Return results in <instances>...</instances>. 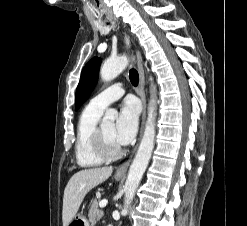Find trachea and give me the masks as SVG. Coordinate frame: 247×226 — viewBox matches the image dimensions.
Returning <instances> with one entry per match:
<instances>
[{
    "instance_id": "1",
    "label": "trachea",
    "mask_w": 247,
    "mask_h": 226,
    "mask_svg": "<svg viewBox=\"0 0 247 226\" xmlns=\"http://www.w3.org/2000/svg\"><path fill=\"white\" fill-rule=\"evenodd\" d=\"M129 78H130V81H131L133 86L138 85L139 76H138V72L136 71V69H134V68L130 69Z\"/></svg>"
}]
</instances>
